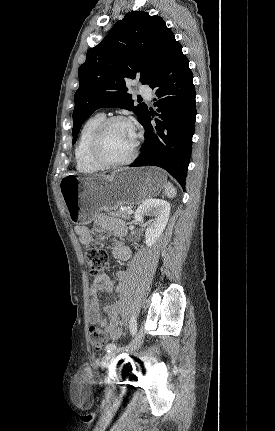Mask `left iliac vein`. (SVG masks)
Masks as SVG:
<instances>
[{"label":"left iliac vein","mask_w":275,"mask_h":431,"mask_svg":"<svg viewBox=\"0 0 275 431\" xmlns=\"http://www.w3.org/2000/svg\"><path fill=\"white\" fill-rule=\"evenodd\" d=\"M143 337H144V330H143V328H141L139 330V333L136 336L135 340L132 343H130L128 346H125V347L120 348V349H115V350L105 354V356L102 359L101 366L102 367H108L109 365H111V363L115 360L116 356L120 352H133V351H135L137 349V347L141 344Z\"/></svg>","instance_id":"1"}]
</instances>
